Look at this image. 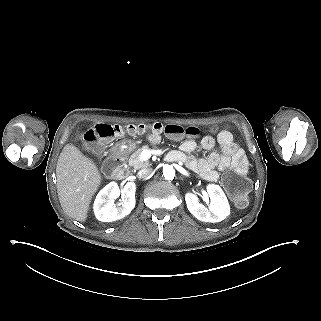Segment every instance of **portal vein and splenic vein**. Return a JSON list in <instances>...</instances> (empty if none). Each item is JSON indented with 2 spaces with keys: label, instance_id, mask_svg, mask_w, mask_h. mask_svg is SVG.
Returning a JSON list of instances; mask_svg holds the SVG:
<instances>
[{
  "label": "portal vein and splenic vein",
  "instance_id": "portal-vein-and-splenic-vein-1",
  "mask_svg": "<svg viewBox=\"0 0 321 321\" xmlns=\"http://www.w3.org/2000/svg\"><path fill=\"white\" fill-rule=\"evenodd\" d=\"M154 153V151L153 150H144V151H142V153H141V159L142 160H147L149 157L147 156V154H153Z\"/></svg>",
  "mask_w": 321,
  "mask_h": 321
}]
</instances>
